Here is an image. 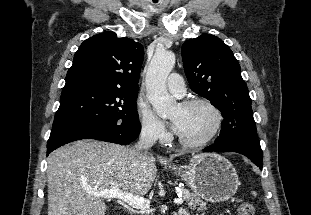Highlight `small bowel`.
I'll list each match as a JSON object with an SVG mask.
<instances>
[{
    "label": "small bowel",
    "instance_id": "1",
    "mask_svg": "<svg viewBox=\"0 0 311 215\" xmlns=\"http://www.w3.org/2000/svg\"><path fill=\"white\" fill-rule=\"evenodd\" d=\"M180 213H182V215H189L187 211L182 210Z\"/></svg>",
    "mask_w": 311,
    "mask_h": 215
}]
</instances>
